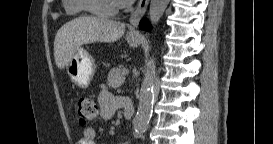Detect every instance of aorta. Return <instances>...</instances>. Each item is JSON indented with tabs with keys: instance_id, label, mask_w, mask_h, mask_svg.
Returning <instances> with one entry per match:
<instances>
[{
	"instance_id": "aorta-1",
	"label": "aorta",
	"mask_w": 273,
	"mask_h": 144,
	"mask_svg": "<svg viewBox=\"0 0 273 144\" xmlns=\"http://www.w3.org/2000/svg\"><path fill=\"white\" fill-rule=\"evenodd\" d=\"M169 0H151L149 8V20L153 26L160 21L167 8ZM154 62L151 60L147 65L144 80L140 90V99L137 114L133 120L134 132L141 136L145 133L152 115L154 102Z\"/></svg>"
}]
</instances>
